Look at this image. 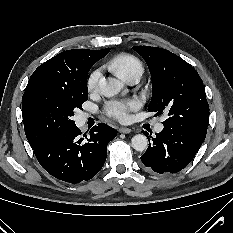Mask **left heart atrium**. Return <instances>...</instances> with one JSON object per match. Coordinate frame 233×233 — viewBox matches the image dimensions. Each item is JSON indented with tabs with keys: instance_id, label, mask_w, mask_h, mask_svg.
<instances>
[{
	"instance_id": "39dd6f15",
	"label": "left heart atrium",
	"mask_w": 233,
	"mask_h": 233,
	"mask_svg": "<svg viewBox=\"0 0 233 233\" xmlns=\"http://www.w3.org/2000/svg\"><path fill=\"white\" fill-rule=\"evenodd\" d=\"M139 104L135 100L110 101L105 106L106 114L120 121L128 119V113L136 110Z\"/></svg>"
}]
</instances>
